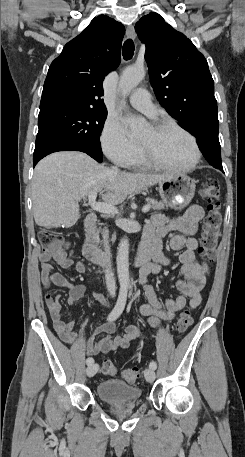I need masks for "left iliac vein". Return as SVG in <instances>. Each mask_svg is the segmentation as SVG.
I'll use <instances>...</instances> for the list:
<instances>
[{
	"instance_id": "1",
	"label": "left iliac vein",
	"mask_w": 245,
	"mask_h": 457,
	"mask_svg": "<svg viewBox=\"0 0 245 457\" xmlns=\"http://www.w3.org/2000/svg\"><path fill=\"white\" fill-rule=\"evenodd\" d=\"M145 379L147 382L149 383H152L155 381V373H154V369L152 368H147L145 370Z\"/></svg>"
}]
</instances>
